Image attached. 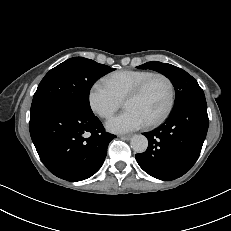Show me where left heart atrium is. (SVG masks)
Segmentation results:
<instances>
[{"instance_id":"left-heart-atrium-1","label":"left heart atrium","mask_w":231,"mask_h":231,"mask_svg":"<svg viewBox=\"0 0 231 231\" xmlns=\"http://www.w3.org/2000/svg\"><path fill=\"white\" fill-rule=\"evenodd\" d=\"M147 125V122L134 110H125L123 113L107 121L106 127L114 133H127L138 130Z\"/></svg>"}]
</instances>
